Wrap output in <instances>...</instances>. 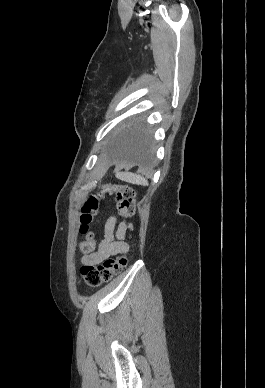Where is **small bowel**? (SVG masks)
Instances as JSON below:
<instances>
[{"label": "small bowel", "instance_id": "obj_1", "mask_svg": "<svg viewBox=\"0 0 265 388\" xmlns=\"http://www.w3.org/2000/svg\"><path fill=\"white\" fill-rule=\"evenodd\" d=\"M116 219L110 217L107 219L104 229V239L99 243L98 248L81 259L83 265H97L103 260L128 250L127 244L122 240L126 225L121 224L116 235H114Z\"/></svg>", "mask_w": 265, "mask_h": 388}]
</instances>
